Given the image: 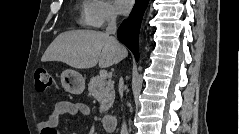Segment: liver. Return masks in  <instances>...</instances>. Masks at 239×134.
Wrapping results in <instances>:
<instances>
[{"mask_svg":"<svg viewBox=\"0 0 239 134\" xmlns=\"http://www.w3.org/2000/svg\"><path fill=\"white\" fill-rule=\"evenodd\" d=\"M127 50L109 35L94 30H76L59 34L42 56V62L58 61L73 68H100L117 64Z\"/></svg>","mask_w":239,"mask_h":134,"instance_id":"6515ba94","label":"liver"}]
</instances>
